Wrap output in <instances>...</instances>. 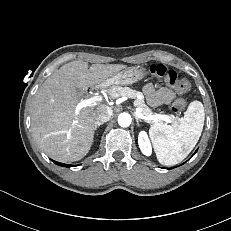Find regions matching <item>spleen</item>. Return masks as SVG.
I'll list each match as a JSON object with an SVG mask.
<instances>
[{
  "label": "spleen",
  "instance_id": "obj_1",
  "mask_svg": "<svg viewBox=\"0 0 231 231\" xmlns=\"http://www.w3.org/2000/svg\"><path fill=\"white\" fill-rule=\"evenodd\" d=\"M204 120L203 104L200 101H192L184 113V118L174 125H152L149 134L159 163L172 166L185 159L201 136Z\"/></svg>",
  "mask_w": 231,
  "mask_h": 231
}]
</instances>
